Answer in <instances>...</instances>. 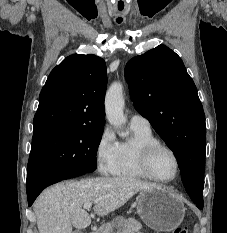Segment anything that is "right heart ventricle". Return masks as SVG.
I'll return each mask as SVG.
<instances>
[{
  "mask_svg": "<svg viewBox=\"0 0 227 233\" xmlns=\"http://www.w3.org/2000/svg\"><path fill=\"white\" fill-rule=\"evenodd\" d=\"M133 139L119 145V162L114 173L116 176L143 179L147 178L139 166V150L144 145L158 142L152 131L131 128Z\"/></svg>",
  "mask_w": 227,
  "mask_h": 233,
  "instance_id": "right-heart-ventricle-1",
  "label": "right heart ventricle"
}]
</instances>
